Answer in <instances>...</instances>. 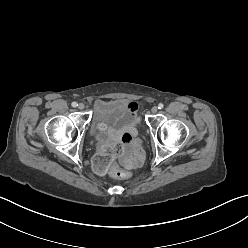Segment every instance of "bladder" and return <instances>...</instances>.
Here are the masks:
<instances>
[{
  "label": "bladder",
  "mask_w": 248,
  "mask_h": 248,
  "mask_svg": "<svg viewBox=\"0 0 248 248\" xmlns=\"http://www.w3.org/2000/svg\"><path fill=\"white\" fill-rule=\"evenodd\" d=\"M138 120L130 102L124 99L99 100L93 106L91 134L95 139L123 133Z\"/></svg>",
  "instance_id": "obj_1"
}]
</instances>
